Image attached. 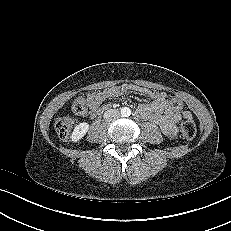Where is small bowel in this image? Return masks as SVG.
Returning a JSON list of instances; mask_svg holds the SVG:
<instances>
[{
    "label": "small bowel",
    "instance_id": "1",
    "mask_svg": "<svg viewBox=\"0 0 231 231\" xmlns=\"http://www.w3.org/2000/svg\"><path fill=\"white\" fill-rule=\"evenodd\" d=\"M130 91L139 93L148 99L136 109V115L159 126L162 133L174 138L178 134V125L182 119H192L190 112L174 109L164 92H152L146 88L131 84L113 86L109 89L88 94L86 98L80 97L88 106L84 114L90 117L97 116L107 106L102 105L106 99L120 97Z\"/></svg>",
    "mask_w": 231,
    "mask_h": 231
}]
</instances>
